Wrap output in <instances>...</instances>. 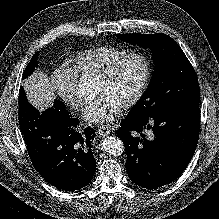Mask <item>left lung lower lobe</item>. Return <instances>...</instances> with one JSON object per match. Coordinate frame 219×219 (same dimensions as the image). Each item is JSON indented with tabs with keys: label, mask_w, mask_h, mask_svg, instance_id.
<instances>
[{
	"label": "left lung lower lobe",
	"mask_w": 219,
	"mask_h": 219,
	"mask_svg": "<svg viewBox=\"0 0 219 219\" xmlns=\"http://www.w3.org/2000/svg\"><path fill=\"white\" fill-rule=\"evenodd\" d=\"M120 125L117 136L125 144L130 179L156 189L178 178L192 159L200 131L199 104L156 117L127 116ZM144 131L150 133L148 139Z\"/></svg>",
	"instance_id": "left-lung-lower-lobe-1"
}]
</instances>
